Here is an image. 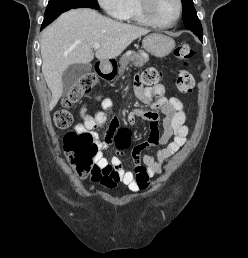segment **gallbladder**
I'll list each match as a JSON object with an SVG mask.
<instances>
[{"mask_svg": "<svg viewBox=\"0 0 248 258\" xmlns=\"http://www.w3.org/2000/svg\"><path fill=\"white\" fill-rule=\"evenodd\" d=\"M92 69L91 64H72L62 74L63 95L70 93L78 81Z\"/></svg>", "mask_w": 248, "mask_h": 258, "instance_id": "bac80fb5", "label": "gallbladder"}]
</instances>
